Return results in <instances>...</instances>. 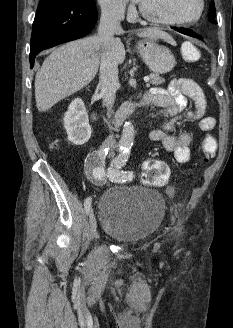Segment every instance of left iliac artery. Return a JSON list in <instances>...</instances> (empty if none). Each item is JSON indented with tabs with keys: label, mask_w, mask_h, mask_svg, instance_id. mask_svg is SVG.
<instances>
[{
	"label": "left iliac artery",
	"mask_w": 233,
	"mask_h": 328,
	"mask_svg": "<svg viewBox=\"0 0 233 328\" xmlns=\"http://www.w3.org/2000/svg\"><path fill=\"white\" fill-rule=\"evenodd\" d=\"M130 147H126L111 163L108 168L107 175L111 182L115 183H126L132 180V172H126L121 168L126 164L129 157Z\"/></svg>",
	"instance_id": "1"
}]
</instances>
